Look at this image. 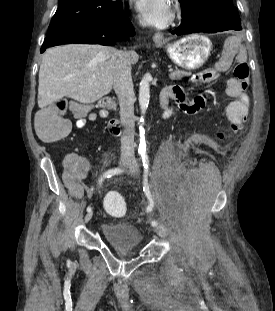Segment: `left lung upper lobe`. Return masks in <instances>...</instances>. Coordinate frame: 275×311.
<instances>
[{"mask_svg": "<svg viewBox=\"0 0 275 311\" xmlns=\"http://www.w3.org/2000/svg\"><path fill=\"white\" fill-rule=\"evenodd\" d=\"M182 18L190 20L209 12H226L233 20L241 21L233 0H179Z\"/></svg>", "mask_w": 275, "mask_h": 311, "instance_id": "5c2ea615", "label": "left lung upper lobe"}]
</instances>
